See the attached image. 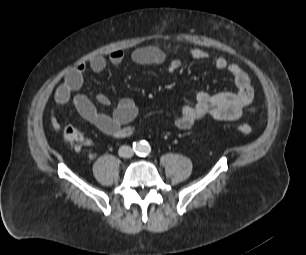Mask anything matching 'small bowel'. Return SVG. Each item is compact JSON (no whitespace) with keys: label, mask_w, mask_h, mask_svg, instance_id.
Returning a JSON list of instances; mask_svg holds the SVG:
<instances>
[{"label":"small bowel","mask_w":306,"mask_h":255,"mask_svg":"<svg viewBox=\"0 0 306 255\" xmlns=\"http://www.w3.org/2000/svg\"><path fill=\"white\" fill-rule=\"evenodd\" d=\"M187 54L194 60H209L220 71H227L233 78L236 91H226L216 94L199 92L193 104H184L178 109L174 125L179 130L190 129L194 124L208 117L218 121H235L242 117L244 109L254 99V89L249 74L237 63L229 62L224 56L213 55L201 48H190ZM126 58L120 49L112 50L107 57L98 55L88 62L73 66L57 87L54 99L58 105L72 103L79 115L95 126L102 133L113 138H125L133 134L132 122L138 116L139 108L130 98H121L111 113H101L91 100L77 92L83 85V77L87 69L95 73L104 71L108 65L119 66ZM129 59L139 65H162L166 62V54L156 46L138 48L129 54ZM182 61L172 59L168 64V72L179 70ZM97 101L100 105L108 106L110 98L99 94ZM51 125L58 130L59 120L51 117Z\"/></svg>","instance_id":"obj_1"}]
</instances>
